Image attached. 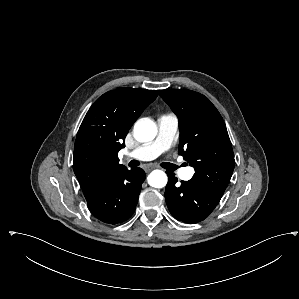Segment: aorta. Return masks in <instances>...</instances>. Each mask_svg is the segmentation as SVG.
Listing matches in <instances>:
<instances>
[{"label":"aorta","mask_w":299,"mask_h":299,"mask_svg":"<svg viewBox=\"0 0 299 299\" xmlns=\"http://www.w3.org/2000/svg\"><path fill=\"white\" fill-rule=\"evenodd\" d=\"M157 134V128L150 119H140L134 125V136L141 142L151 141ZM148 184L154 188H163L167 184V175L161 170H154L148 175Z\"/></svg>","instance_id":"obj_1"}]
</instances>
